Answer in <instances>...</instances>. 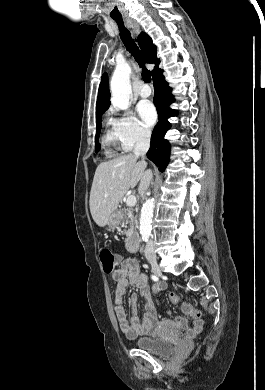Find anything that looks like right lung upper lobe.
I'll return each instance as SVG.
<instances>
[{
	"instance_id": "1",
	"label": "right lung upper lobe",
	"mask_w": 265,
	"mask_h": 390,
	"mask_svg": "<svg viewBox=\"0 0 265 390\" xmlns=\"http://www.w3.org/2000/svg\"><path fill=\"white\" fill-rule=\"evenodd\" d=\"M138 44L146 62L155 64V67L152 70V75L155 76L161 70L159 69L160 60L156 56V46L152 44L151 38L144 32L138 36ZM109 106L110 93L108 89V77L107 74H103L97 97L96 119L102 117V114L108 109Z\"/></svg>"
}]
</instances>
